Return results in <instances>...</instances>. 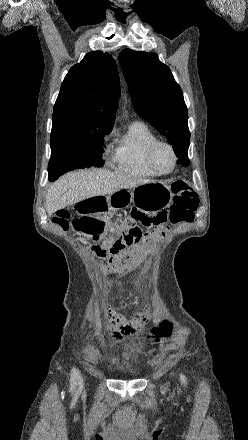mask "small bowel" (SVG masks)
Here are the masks:
<instances>
[{"instance_id": "1", "label": "small bowel", "mask_w": 248, "mask_h": 440, "mask_svg": "<svg viewBox=\"0 0 248 440\" xmlns=\"http://www.w3.org/2000/svg\"><path fill=\"white\" fill-rule=\"evenodd\" d=\"M102 312L104 315V329L110 333L117 344L124 345L123 353L125 355L129 354L132 347L125 343V339L128 336H139L143 332L145 322L143 311L131 320H126L108 308H104ZM107 359L113 364L118 362V359L110 354L107 355Z\"/></svg>"}]
</instances>
